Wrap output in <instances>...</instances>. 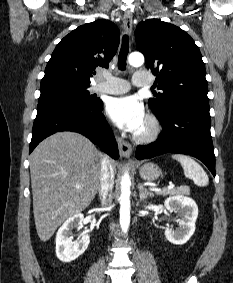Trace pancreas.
Listing matches in <instances>:
<instances>
[{
  "label": "pancreas",
  "mask_w": 233,
  "mask_h": 283,
  "mask_svg": "<svg viewBox=\"0 0 233 283\" xmlns=\"http://www.w3.org/2000/svg\"><path fill=\"white\" fill-rule=\"evenodd\" d=\"M156 194L157 195H189L190 190L188 187H180V188L171 189V190H167L163 192H157Z\"/></svg>",
  "instance_id": "cf45deb5"
}]
</instances>
